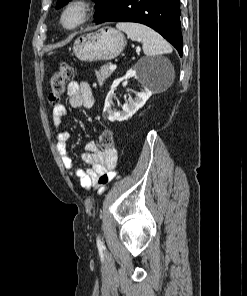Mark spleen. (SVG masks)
<instances>
[{
  "label": "spleen",
  "mask_w": 247,
  "mask_h": 296,
  "mask_svg": "<svg viewBox=\"0 0 247 296\" xmlns=\"http://www.w3.org/2000/svg\"><path fill=\"white\" fill-rule=\"evenodd\" d=\"M116 27L125 32L131 40L142 42V48L147 57L172 52L170 44L160 34L145 25L132 22H120L117 23ZM173 77L172 73L171 81Z\"/></svg>",
  "instance_id": "obj_1"
}]
</instances>
